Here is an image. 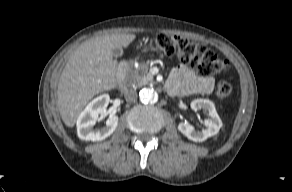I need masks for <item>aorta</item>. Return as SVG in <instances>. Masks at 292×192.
<instances>
[{
	"label": "aorta",
	"mask_w": 292,
	"mask_h": 192,
	"mask_svg": "<svg viewBox=\"0 0 292 192\" xmlns=\"http://www.w3.org/2000/svg\"><path fill=\"white\" fill-rule=\"evenodd\" d=\"M140 100L145 104H153L158 100L157 92L152 88H143L139 92Z\"/></svg>",
	"instance_id": "762f6f07"
}]
</instances>
